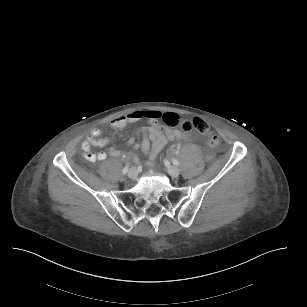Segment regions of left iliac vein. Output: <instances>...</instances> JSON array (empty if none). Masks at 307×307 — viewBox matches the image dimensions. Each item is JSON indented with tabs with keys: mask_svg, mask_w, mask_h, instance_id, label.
<instances>
[{
	"mask_svg": "<svg viewBox=\"0 0 307 307\" xmlns=\"http://www.w3.org/2000/svg\"><path fill=\"white\" fill-rule=\"evenodd\" d=\"M167 172L173 178H177L179 176V174H180L179 169L177 167H175V166L168 167Z\"/></svg>",
	"mask_w": 307,
	"mask_h": 307,
	"instance_id": "4c4485c4",
	"label": "left iliac vein"
}]
</instances>
